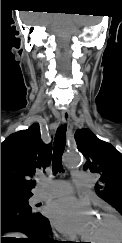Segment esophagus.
<instances>
[{"label": "esophagus", "mask_w": 122, "mask_h": 243, "mask_svg": "<svg viewBox=\"0 0 122 243\" xmlns=\"http://www.w3.org/2000/svg\"><path fill=\"white\" fill-rule=\"evenodd\" d=\"M61 120L63 123H68L70 120V113L67 110L61 112Z\"/></svg>", "instance_id": "esophagus-1"}]
</instances>
